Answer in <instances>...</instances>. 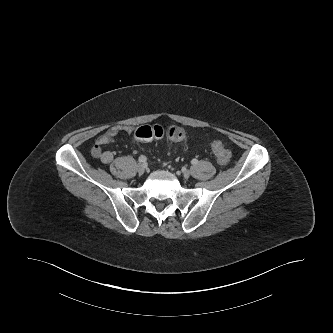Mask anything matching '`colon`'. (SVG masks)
<instances>
[{
  "instance_id": "5ec220e1",
  "label": "colon",
  "mask_w": 333,
  "mask_h": 333,
  "mask_svg": "<svg viewBox=\"0 0 333 333\" xmlns=\"http://www.w3.org/2000/svg\"><path fill=\"white\" fill-rule=\"evenodd\" d=\"M168 135L173 140H182L184 138V132L177 126L170 127L167 131L161 125H144L140 126L134 133L136 139L141 141H148L152 139H159ZM212 151L221 164H225L231 157L230 150L223 145L220 141H215L212 144Z\"/></svg>"
}]
</instances>
